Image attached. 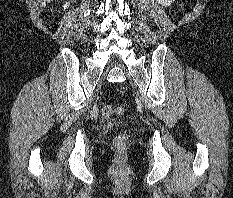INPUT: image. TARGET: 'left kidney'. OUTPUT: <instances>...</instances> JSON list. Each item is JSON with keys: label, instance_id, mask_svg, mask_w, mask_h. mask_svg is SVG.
Masks as SVG:
<instances>
[{"label": "left kidney", "instance_id": "5707ae66", "mask_svg": "<svg viewBox=\"0 0 233 198\" xmlns=\"http://www.w3.org/2000/svg\"><path fill=\"white\" fill-rule=\"evenodd\" d=\"M162 6H170L175 0H156Z\"/></svg>", "mask_w": 233, "mask_h": 198}]
</instances>
